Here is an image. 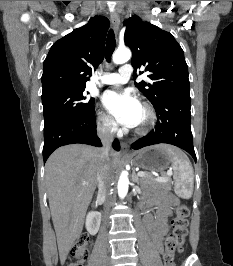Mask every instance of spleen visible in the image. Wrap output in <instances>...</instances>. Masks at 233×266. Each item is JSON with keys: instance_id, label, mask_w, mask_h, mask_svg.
<instances>
[{"instance_id": "3e777b00", "label": "spleen", "mask_w": 233, "mask_h": 266, "mask_svg": "<svg viewBox=\"0 0 233 266\" xmlns=\"http://www.w3.org/2000/svg\"><path fill=\"white\" fill-rule=\"evenodd\" d=\"M172 157V168L174 171L175 193L179 197L190 198L193 193L194 174L193 167L188 157L178 148L162 144Z\"/></svg>"}]
</instances>
